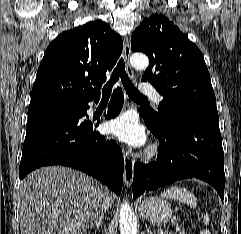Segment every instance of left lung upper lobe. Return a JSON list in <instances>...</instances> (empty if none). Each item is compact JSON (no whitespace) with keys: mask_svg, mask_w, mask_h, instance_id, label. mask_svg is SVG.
I'll return each instance as SVG.
<instances>
[{"mask_svg":"<svg viewBox=\"0 0 241 234\" xmlns=\"http://www.w3.org/2000/svg\"><path fill=\"white\" fill-rule=\"evenodd\" d=\"M131 49L150 60L142 81H149L163 96L158 112L140 113L156 126L171 112L218 119L210 74L197 46L163 15L145 18L131 37Z\"/></svg>","mask_w":241,"mask_h":234,"instance_id":"5c2ea615","label":"left lung upper lobe"}]
</instances>
